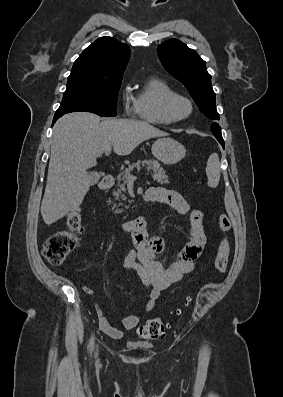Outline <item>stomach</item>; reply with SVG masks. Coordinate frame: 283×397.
I'll return each instance as SVG.
<instances>
[{
	"label": "stomach",
	"mask_w": 283,
	"mask_h": 397,
	"mask_svg": "<svg viewBox=\"0 0 283 397\" xmlns=\"http://www.w3.org/2000/svg\"><path fill=\"white\" fill-rule=\"evenodd\" d=\"M155 158L166 165H173L182 160L186 154L185 147L172 138H160L151 148Z\"/></svg>",
	"instance_id": "stomach-1"
}]
</instances>
